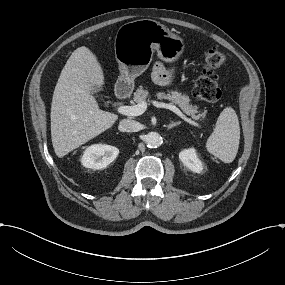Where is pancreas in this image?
Wrapping results in <instances>:
<instances>
[{"instance_id":"pancreas-1","label":"pancreas","mask_w":285,"mask_h":285,"mask_svg":"<svg viewBox=\"0 0 285 285\" xmlns=\"http://www.w3.org/2000/svg\"><path fill=\"white\" fill-rule=\"evenodd\" d=\"M158 100L166 99L168 102L178 105L187 115L191 116L193 119H198V111L196 108L191 107L189 104L190 98L187 94L177 92L174 90H167L156 93ZM149 92L145 90L143 86H139L134 93V101L138 103L148 102Z\"/></svg>"}]
</instances>
